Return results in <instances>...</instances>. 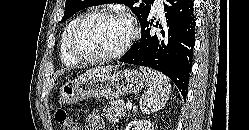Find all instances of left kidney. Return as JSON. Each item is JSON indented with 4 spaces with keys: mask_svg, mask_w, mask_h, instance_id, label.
Returning <instances> with one entry per match:
<instances>
[{
    "mask_svg": "<svg viewBox=\"0 0 249 130\" xmlns=\"http://www.w3.org/2000/svg\"><path fill=\"white\" fill-rule=\"evenodd\" d=\"M125 130H154V126L148 120H134L126 126Z\"/></svg>",
    "mask_w": 249,
    "mask_h": 130,
    "instance_id": "left-kidney-1",
    "label": "left kidney"
}]
</instances>
